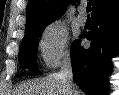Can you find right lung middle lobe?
Wrapping results in <instances>:
<instances>
[{"label": "right lung middle lobe", "mask_w": 119, "mask_h": 95, "mask_svg": "<svg viewBox=\"0 0 119 95\" xmlns=\"http://www.w3.org/2000/svg\"><path fill=\"white\" fill-rule=\"evenodd\" d=\"M48 24H44L25 33L19 50V60L23 69L28 68L31 72L39 74L36 69L38 42Z\"/></svg>", "instance_id": "obj_1"}]
</instances>
